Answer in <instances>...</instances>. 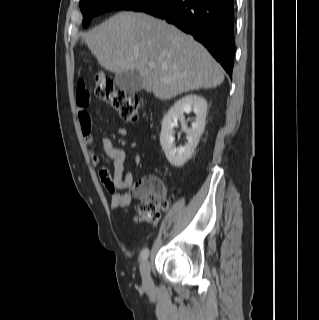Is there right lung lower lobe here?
<instances>
[{"mask_svg":"<svg viewBox=\"0 0 319 320\" xmlns=\"http://www.w3.org/2000/svg\"><path fill=\"white\" fill-rule=\"evenodd\" d=\"M234 0H153L139 7L201 42L229 76L235 55Z\"/></svg>","mask_w":319,"mask_h":320,"instance_id":"1","label":"right lung lower lobe"}]
</instances>
